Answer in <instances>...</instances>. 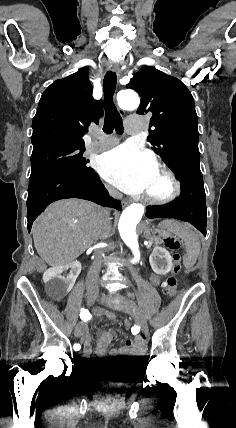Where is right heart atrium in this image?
<instances>
[{
  "mask_svg": "<svg viewBox=\"0 0 236 428\" xmlns=\"http://www.w3.org/2000/svg\"><path fill=\"white\" fill-rule=\"evenodd\" d=\"M104 189L107 192V194H109L110 196H117V192L109 185L104 184Z\"/></svg>",
  "mask_w": 236,
  "mask_h": 428,
  "instance_id": "1",
  "label": "right heart atrium"
}]
</instances>
